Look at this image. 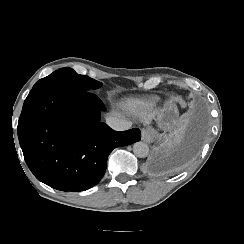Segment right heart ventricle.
<instances>
[{"label": "right heart ventricle", "instance_id": "1", "mask_svg": "<svg viewBox=\"0 0 244 244\" xmlns=\"http://www.w3.org/2000/svg\"><path fill=\"white\" fill-rule=\"evenodd\" d=\"M156 103H157V99H153L149 101L132 100V101H127L124 104V108L130 112H137V111L150 112Z\"/></svg>", "mask_w": 244, "mask_h": 244}]
</instances>
